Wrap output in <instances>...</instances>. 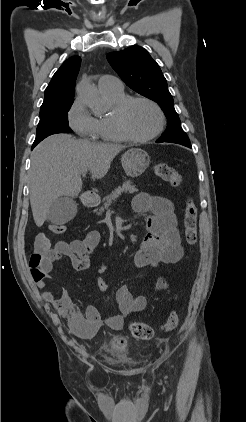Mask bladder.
I'll return each mask as SVG.
<instances>
[{"label":"bladder","mask_w":246,"mask_h":422,"mask_svg":"<svg viewBox=\"0 0 246 422\" xmlns=\"http://www.w3.org/2000/svg\"><path fill=\"white\" fill-rule=\"evenodd\" d=\"M126 350L125 345L120 343L118 339H112L107 347V352L113 356L124 353Z\"/></svg>","instance_id":"31cf9c89"}]
</instances>
